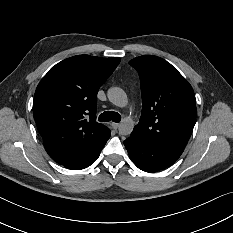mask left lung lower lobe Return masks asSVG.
<instances>
[{"label": "left lung lower lobe", "mask_w": 233, "mask_h": 233, "mask_svg": "<svg viewBox=\"0 0 233 233\" xmlns=\"http://www.w3.org/2000/svg\"><path fill=\"white\" fill-rule=\"evenodd\" d=\"M124 144L135 165L150 173L172 165L182 154L148 142L134 132L124 141Z\"/></svg>", "instance_id": "left-lung-lower-lobe-1"}]
</instances>
